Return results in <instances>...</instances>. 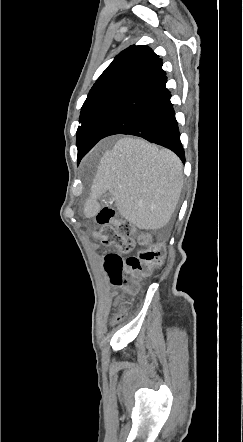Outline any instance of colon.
I'll list each match as a JSON object with an SVG mask.
<instances>
[{
    "mask_svg": "<svg viewBox=\"0 0 243 442\" xmlns=\"http://www.w3.org/2000/svg\"><path fill=\"white\" fill-rule=\"evenodd\" d=\"M96 220L99 229L94 236L103 245L113 246L121 253L131 252L136 243L140 245L139 253L125 260L115 254L106 255L104 259L109 282L113 286L121 287L124 295L135 294L140 280L147 277L152 268L165 259L166 248L153 243L149 235L136 233L129 221L116 219L112 208L102 209L97 214ZM126 304V299L119 302L117 314L119 320L126 314Z\"/></svg>",
    "mask_w": 243,
    "mask_h": 442,
    "instance_id": "obj_1",
    "label": "colon"
}]
</instances>
